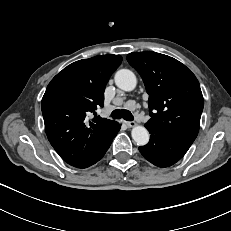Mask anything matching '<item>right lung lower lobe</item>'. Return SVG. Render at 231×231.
<instances>
[{
    "label": "right lung lower lobe",
    "instance_id": "98d812e1",
    "mask_svg": "<svg viewBox=\"0 0 231 231\" xmlns=\"http://www.w3.org/2000/svg\"><path fill=\"white\" fill-rule=\"evenodd\" d=\"M119 129H120V125L118 124L116 126L110 140L98 150V152L93 156V158L83 168H86V167H89V166L95 164L97 161H99L104 156V154L108 150L109 146L111 145V142H112L113 138L118 133Z\"/></svg>",
    "mask_w": 231,
    "mask_h": 231
}]
</instances>
